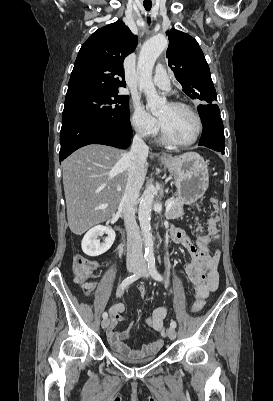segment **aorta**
<instances>
[{"mask_svg": "<svg viewBox=\"0 0 273 401\" xmlns=\"http://www.w3.org/2000/svg\"><path fill=\"white\" fill-rule=\"evenodd\" d=\"M168 41L164 35L158 34L149 39L141 48L137 68L140 73V88L143 90L147 105L153 115H157L165 106L166 100L160 97L152 82V71L157 58L167 47ZM155 187L148 184L145 196L141 199L138 209L140 227L145 242V257L154 258L153 238L151 233V209L154 200Z\"/></svg>", "mask_w": 273, "mask_h": 401, "instance_id": "obj_1", "label": "aorta"}]
</instances>
